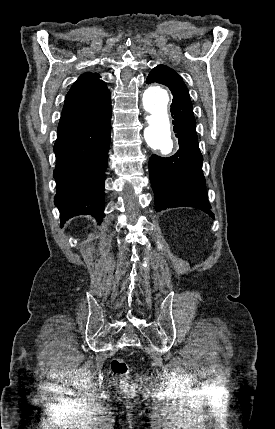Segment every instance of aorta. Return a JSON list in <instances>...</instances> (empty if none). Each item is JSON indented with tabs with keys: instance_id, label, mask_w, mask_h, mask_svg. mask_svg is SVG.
Wrapping results in <instances>:
<instances>
[{
	"instance_id": "762f6f07",
	"label": "aorta",
	"mask_w": 275,
	"mask_h": 429,
	"mask_svg": "<svg viewBox=\"0 0 275 429\" xmlns=\"http://www.w3.org/2000/svg\"><path fill=\"white\" fill-rule=\"evenodd\" d=\"M169 101L167 88L160 84L149 85L143 93V108L149 114L144 138L149 147L159 150L162 154H169L173 149Z\"/></svg>"
}]
</instances>
